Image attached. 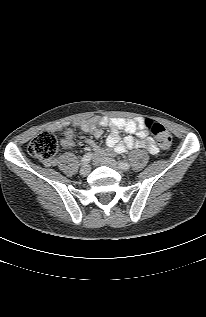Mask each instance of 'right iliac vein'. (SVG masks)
<instances>
[{
    "mask_svg": "<svg viewBox=\"0 0 206 317\" xmlns=\"http://www.w3.org/2000/svg\"><path fill=\"white\" fill-rule=\"evenodd\" d=\"M90 173V166L88 164H85L80 169V174L82 176H87Z\"/></svg>",
    "mask_w": 206,
    "mask_h": 317,
    "instance_id": "63e3f726",
    "label": "right iliac vein"
}]
</instances>
